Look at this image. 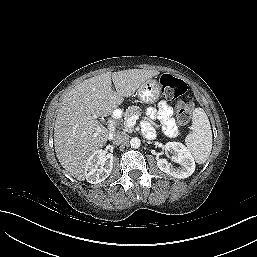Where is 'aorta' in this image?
I'll return each instance as SVG.
<instances>
[{"label":"aorta","instance_id":"aorta-1","mask_svg":"<svg viewBox=\"0 0 257 257\" xmlns=\"http://www.w3.org/2000/svg\"><path fill=\"white\" fill-rule=\"evenodd\" d=\"M140 145H141V141H140L139 138L133 137V138L130 140V146H131V148L137 149V148L140 147Z\"/></svg>","mask_w":257,"mask_h":257}]
</instances>
